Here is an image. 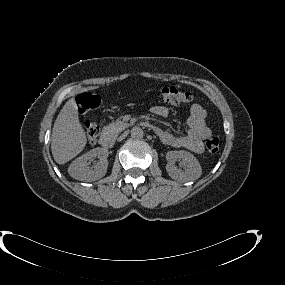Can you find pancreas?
<instances>
[{"mask_svg":"<svg viewBox=\"0 0 285 285\" xmlns=\"http://www.w3.org/2000/svg\"><path fill=\"white\" fill-rule=\"evenodd\" d=\"M122 126H123V122H121V121H115V122L110 123V124L107 126V129H108V130H111V131H113V132L118 133L119 131L122 130Z\"/></svg>","mask_w":285,"mask_h":285,"instance_id":"1","label":"pancreas"}]
</instances>
